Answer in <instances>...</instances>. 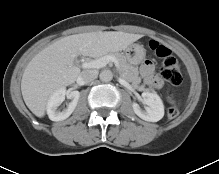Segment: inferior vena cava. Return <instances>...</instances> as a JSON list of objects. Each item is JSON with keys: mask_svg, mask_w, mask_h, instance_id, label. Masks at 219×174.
I'll return each mask as SVG.
<instances>
[{"mask_svg": "<svg viewBox=\"0 0 219 174\" xmlns=\"http://www.w3.org/2000/svg\"><path fill=\"white\" fill-rule=\"evenodd\" d=\"M98 76V72L96 70H84L81 72L79 76V80L82 83H89L96 79Z\"/></svg>", "mask_w": 219, "mask_h": 174, "instance_id": "602c4592", "label": "inferior vena cava"}]
</instances>
